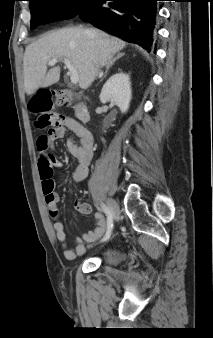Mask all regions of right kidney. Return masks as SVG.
<instances>
[{
    "label": "right kidney",
    "mask_w": 213,
    "mask_h": 338,
    "mask_svg": "<svg viewBox=\"0 0 213 338\" xmlns=\"http://www.w3.org/2000/svg\"><path fill=\"white\" fill-rule=\"evenodd\" d=\"M131 97L130 77L123 72L112 75L103 85L100 93L102 103L110 101L116 104L122 113L128 111Z\"/></svg>",
    "instance_id": "right-kidney-1"
}]
</instances>
